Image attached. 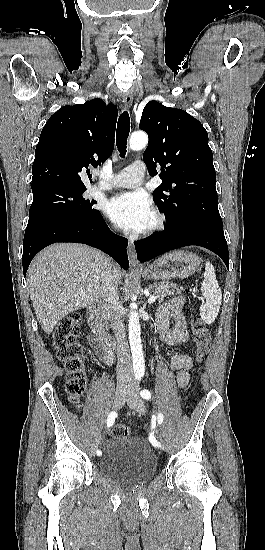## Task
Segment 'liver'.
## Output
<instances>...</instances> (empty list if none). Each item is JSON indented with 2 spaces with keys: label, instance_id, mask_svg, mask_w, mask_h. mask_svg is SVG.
Here are the masks:
<instances>
[{
  "label": "liver",
  "instance_id": "1",
  "mask_svg": "<svg viewBox=\"0 0 265 550\" xmlns=\"http://www.w3.org/2000/svg\"><path fill=\"white\" fill-rule=\"evenodd\" d=\"M109 264L114 265L120 283V268L87 245L56 243L33 259L27 272L28 292L46 334L69 313L100 299Z\"/></svg>",
  "mask_w": 265,
  "mask_h": 550
}]
</instances>
